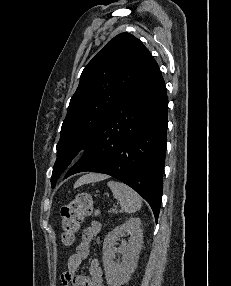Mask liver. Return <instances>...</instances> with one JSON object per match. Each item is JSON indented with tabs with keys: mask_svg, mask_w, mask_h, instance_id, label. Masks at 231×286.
Instances as JSON below:
<instances>
[{
	"mask_svg": "<svg viewBox=\"0 0 231 286\" xmlns=\"http://www.w3.org/2000/svg\"><path fill=\"white\" fill-rule=\"evenodd\" d=\"M107 176L102 175V174H88L83 177H81L74 185V188H77L83 184L95 182V181H100L105 179Z\"/></svg>",
	"mask_w": 231,
	"mask_h": 286,
	"instance_id": "6515ba94",
	"label": "liver"
}]
</instances>
